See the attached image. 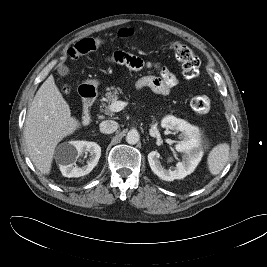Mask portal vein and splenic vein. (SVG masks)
<instances>
[{"mask_svg": "<svg viewBox=\"0 0 267 267\" xmlns=\"http://www.w3.org/2000/svg\"><path fill=\"white\" fill-rule=\"evenodd\" d=\"M128 103L124 101H115L110 105V110L112 112L121 111Z\"/></svg>", "mask_w": 267, "mask_h": 267, "instance_id": "1", "label": "portal vein and splenic vein"}]
</instances>
